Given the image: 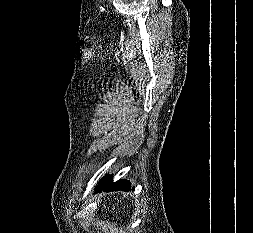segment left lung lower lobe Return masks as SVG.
Segmentation results:
<instances>
[{
	"mask_svg": "<svg viewBox=\"0 0 253 233\" xmlns=\"http://www.w3.org/2000/svg\"><path fill=\"white\" fill-rule=\"evenodd\" d=\"M131 188V185L126 180H120L115 183L112 182V176L103 177L98 184V186L95 188L96 192L104 191H116V190H123V191H129Z\"/></svg>",
	"mask_w": 253,
	"mask_h": 233,
	"instance_id": "0a47b994",
	"label": "left lung lower lobe"
}]
</instances>
